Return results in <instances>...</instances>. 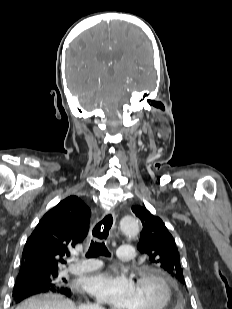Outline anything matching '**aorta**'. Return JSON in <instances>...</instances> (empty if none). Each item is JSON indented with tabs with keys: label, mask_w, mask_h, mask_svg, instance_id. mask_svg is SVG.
<instances>
[{
	"label": "aorta",
	"mask_w": 232,
	"mask_h": 309,
	"mask_svg": "<svg viewBox=\"0 0 232 309\" xmlns=\"http://www.w3.org/2000/svg\"><path fill=\"white\" fill-rule=\"evenodd\" d=\"M120 228L126 235H137L139 232L138 220L133 216H125L120 220Z\"/></svg>",
	"instance_id": "1"
}]
</instances>
